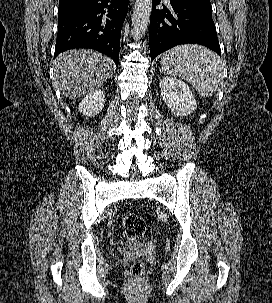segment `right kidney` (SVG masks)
Returning a JSON list of instances; mask_svg holds the SVG:
<instances>
[{"label":"right kidney","mask_w":272,"mask_h":303,"mask_svg":"<svg viewBox=\"0 0 272 303\" xmlns=\"http://www.w3.org/2000/svg\"><path fill=\"white\" fill-rule=\"evenodd\" d=\"M105 103V95L102 90H95L88 95L80 102L79 111L84 116H95L99 114Z\"/></svg>","instance_id":"1"}]
</instances>
